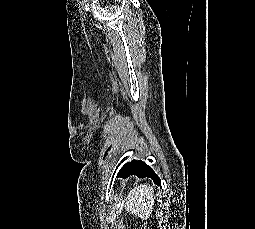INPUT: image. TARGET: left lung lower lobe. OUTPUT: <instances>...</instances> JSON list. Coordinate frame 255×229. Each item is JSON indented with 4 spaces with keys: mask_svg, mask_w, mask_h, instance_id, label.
<instances>
[{
    "mask_svg": "<svg viewBox=\"0 0 255 229\" xmlns=\"http://www.w3.org/2000/svg\"><path fill=\"white\" fill-rule=\"evenodd\" d=\"M130 175H137L138 177H149L153 179L156 184L161 185L159 177L148 165L142 161H133L124 165L118 172L117 176L127 178Z\"/></svg>",
    "mask_w": 255,
    "mask_h": 229,
    "instance_id": "left-lung-lower-lobe-1",
    "label": "left lung lower lobe"
}]
</instances>
